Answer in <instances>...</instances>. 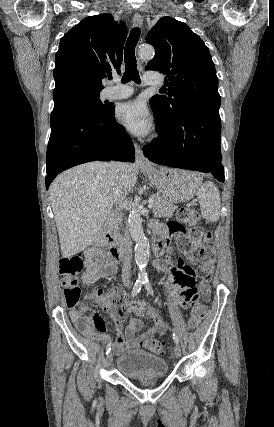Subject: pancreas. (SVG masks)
<instances>
[{
	"label": "pancreas",
	"mask_w": 274,
	"mask_h": 427,
	"mask_svg": "<svg viewBox=\"0 0 274 427\" xmlns=\"http://www.w3.org/2000/svg\"><path fill=\"white\" fill-rule=\"evenodd\" d=\"M153 214L154 217H172L173 212L177 210V206H174V202L171 200H165V198H160V196H153ZM122 214L113 215L112 231L114 239L120 237L119 233V223Z\"/></svg>",
	"instance_id": "pancreas-1"
}]
</instances>
